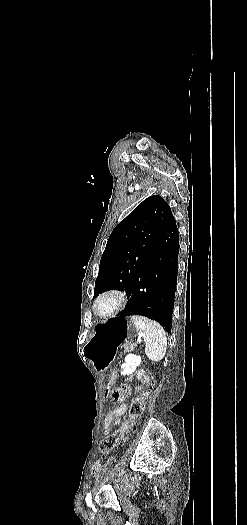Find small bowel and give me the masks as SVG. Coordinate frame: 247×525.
Returning a JSON list of instances; mask_svg holds the SVG:
<instances>
[{
  "mask_svg": "<svg viewBox=\"0 0 247 525\" xmlns=\"http://www.w3.org/2000/svg\"><path fill=\"white\" fill-rule=\"evenodd\" d=\"M133 377L140 380V384L136 387L137 391L143 389L144 385L149 382V376L142 369L136 370L133 374ZM127 410H128L127 404L125 402H121L114 408V410L111 413L107 415L104 421V429H105L106 434L110 433L115 427L119 425L122 418L126 415ZM100 469H101V462L95 461L92 466V472L94 474H97L100 471Z\"/></svg>",
  "mask_w": 247,
  "mask_h": 525,
  "instance_id": "obj_1",
  "label": "small bowel"
}]
</instances>
